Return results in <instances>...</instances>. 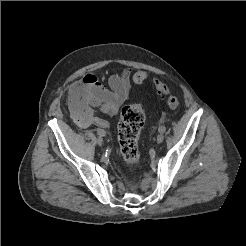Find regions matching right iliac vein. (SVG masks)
<instances>
[{
  "label": "right iliac vein",
  "mask_w": 246,
  "mask_h": 246,
  "mask_svg": "<svg viewBox=\"0 0 246 246\" xmlns=\"http://www.w3.org/2000/svg\"><path fill=\"white\" fill-rule=\"evenodd\" d=\"M97 143L99 144V145H103V139H102V137H98L97 138Z\"/></svg>",
  "instance_id": "63e3f726"
}]
</instances>
